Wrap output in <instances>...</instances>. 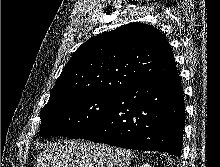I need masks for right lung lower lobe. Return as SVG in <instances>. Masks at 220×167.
I'll return each instance as SVG.
<instances>
[{
    "label": "right lung lower lobe",
    "mask_w": 220,
    "mask_h": 167,
    "mask_svg": "<svg viewBox=\"0 0 220 167\" xmlns=\"http://www.w3.org/2000/svg\"><path fill=\"white\" fill-rule=\"evenodd\" d=\"M184 122V94L175 70L116 94L100 121L79 138L180 156Z\"/></svg>",
    "instance_id": "right-lung-lower-lobe-1"
}]
</instances>
